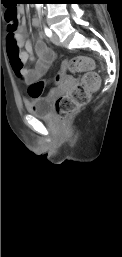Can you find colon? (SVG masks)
<instances>
[{"label":"colon","mask_w":122,"mask_h":257,"mask_svg":"<svg viewBox=\"0 0 122 257\" xmlns=\"http://www.w3.org/2000/svg\"><path fill=\"white\" fill-rule=\"evenodd\" d=\"M3 10H7L5 19L9 30L12 32L18 25V5H3ZM93 69L94 61L86 56H77L65 60L60 70L55 71L52 79H38V82L28 83V98H48V94H52V90H58V84L63 83L66 75L86 72L77 85L56 100L57 116L62 120H67L79 108L87 104L91 94L98 89L100 78L98 74L93 72Z\"/></svg>","instance_id":"colon-1"}]
</instances>
